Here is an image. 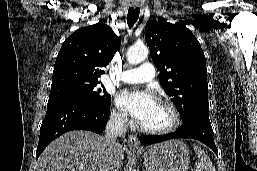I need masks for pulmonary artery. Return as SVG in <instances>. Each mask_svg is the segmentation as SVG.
<instances>
[{
    "label": "pulmonary artery",
    "instance_id": "pulmonary-artery-1",
    "mask_svg": "<svg viewBox=\"0 0 257 171\" xmlns=\"http://www.w3.org/2000/svg\"><path fill=\"white\" fill-rule=\"evenodd\" d=\"M156 69L150 62H143L138 68H133L124 71L119 80L124 83H145L154 79Z\"/></svg>",
    "mask_w": 257,
    "mask_h": 171
}]
</instances>
